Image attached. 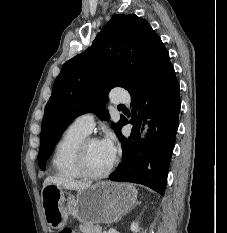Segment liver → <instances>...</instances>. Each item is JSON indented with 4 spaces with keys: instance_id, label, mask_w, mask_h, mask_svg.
Segmentation results:
<instances>
[{
    "instance_id": "1",
    "label": "liver",
    "mask_w": 227,
    "mask_h": 233,
    "mask_svg": "<svg viewBox=\"0 0 227 233\" xmlns=\"http://www.w3.org/2000/svg\"><path fill=\"white\" fill-rule=\"evenodd\" d=\"M49 184H55L57 186H60L68 190H77V191L89 188L92 185L91 182H79L62 176L46 177V179L43 182V188Z\"/></svg>"
}]
</instances>
